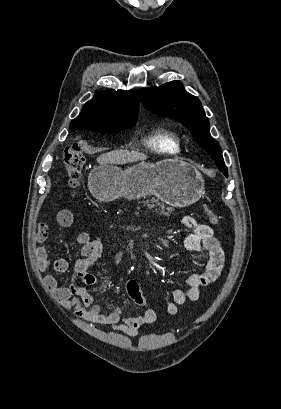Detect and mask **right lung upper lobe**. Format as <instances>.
<instances>
[{
    "instance_id": "cb5924a9",
    "label": "right lung upper lobe",
    "mask_w": 281,
    "mask_h": 409,
    "mask_svg": "<svg viewBox=\"0 0 281 409\" xmlns=\"http://www.w3.org/2000/svg\"><path fill=\"white\" fill-rule=\"evenodd\" d=\"M138 91L107 90L95 94L72 120L71 131L83 127H121L135 125L138 118Z\"/></svg>"
}]
</instances>
